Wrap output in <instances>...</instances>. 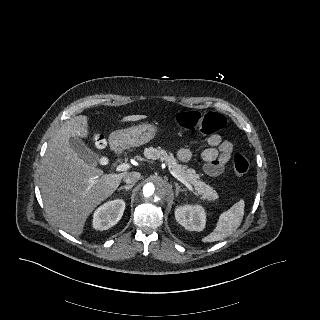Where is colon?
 <instances>
[{
  "mask_svg": "<svg viewBox=\"0 0 320 320\" xmlns=\"http://www.w3.org/2000/svg\"><path fill=\"white\" fill-rule=\"evenodd\" d=\"M176 122L185 130L198 131L204 134L220 131L226 125L225 117L218 112L184 111L177 114ZM92 140L97 148H102L105 144L104 137L97 132L93 133ZM233 169L238 177H244L249 171V161L242 154H235Z\"/></svg>",
  "mask_w": 320,
  "mask_h": 320,
  "instance_id": "5ec220e1",
  "label": "colon"
}]
</instances>
